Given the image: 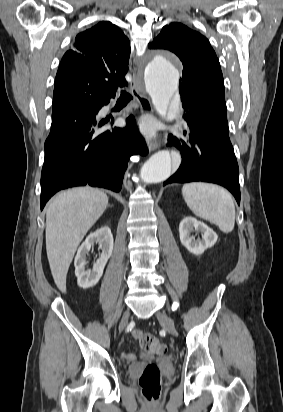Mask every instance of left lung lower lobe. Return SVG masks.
Returning <instances> with one entry per match:
<instances>
[{"label": "left lung lower lobe", "mask_w": 283, "mask_h": 412, "mask_svg": "<svg viewBox=\"0 0 283 412\" xmlns=\"http://www.w3.org/2000/svg\"><path fill=\"white\" fill-rule=\"evenodd\" d=\"M184 109L187 110L185 119L190 133L181 140L169 136V145L176 146L181 152L182 164L163 185L212 182L227 188L240 204L239 168L228 126L212 125L194 111Z\"/></svg>", "instance_id": "0a47b994"}]
</instances>
